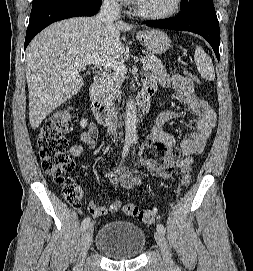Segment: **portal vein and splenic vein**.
I'll return each mask as SVG.
<instances>
[{"mask_svg":"<svg viewBox=\"0 0 253 271\" xmlns=\"http://www.w3.org/2000/svg\"><path fill=\"white\" fill-rule=\"evenodd\" d=\"M89 64H93L99 67H106L120 74L127 73V68L122 62L103 59V58H100L98 55H94L90 59H84V60L75 62V66L78 68H84L86 65H89ZM148 69H149V65L147 63H144L143 70H148Z\"/></svg>","mask_w":253,"mask_h":271,"instance_id":"18ae733b","label":"portal vein and splenic vein"}]
</instances>
